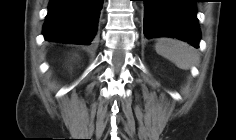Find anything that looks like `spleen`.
Returning a JSON list of instances; mask_svg holds the SVG:
<instances>
[{"mask_svg":"<svg viewBox=\"0 0 236 140\" xmlns=\"http://www.w3.org/2000/svg\"><path fill=\"white\" fill-rule=\"evenodd\" d=\"M155 49L158 54L183 70H188L199 62L195 49L183 41L162 38L156 43Z\"/></svg>","mask_w":236,"mask_h":140,"instance_id":"3e777b00","label":"spleen"}]
</instances>
